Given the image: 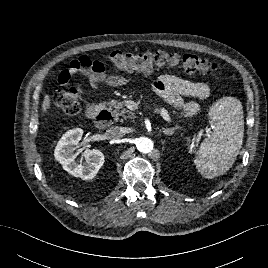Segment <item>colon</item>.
Returning <instances> with one entry per match:
<instances>
[{"label": "colon", "instance_id": "5ec220e1", "mask_svg": "<svg viewBox=\"0 0 268 268\" xmlns=\"http://www.w3.org/2000/svg\"><path fill=\"white\" fill-rule=\"evenodd\" d=\"M112 69L120 70H150L152 68L180 67L186 75H205L217 72L218 66L206 59L186 54L166 52H124L113 51L108 55ZM86 63L82 62V65ZM82 91L78 87L58 90L54 95L55 103L66 113L75 114L80 110Z\"/></svg>", "mask_w": 268, "mask_h": 268}]
</instances>
